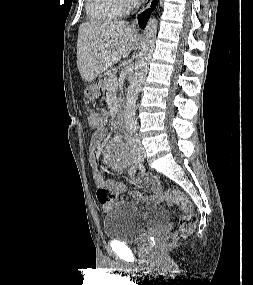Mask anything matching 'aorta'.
<instances>
[{
  "label": "aorta",
  "mask_w": 253,
  "mask_h": 285,
  "mask_svg": "<svg viewBox=\"0 0 253 285\" xmlns=\"http://www.w3.org/2000/svg\"><path fill=\"white\" fill-rule=\"evenodd\" d=\"M157 25L158 21L155 17L150 18L146 24L138 60L135 64L134 74L127 90L124 120L126 129L131 133L137 130L136 101L147 74L149 61L154 50Z\"/></svg>",
  "instance_id": "aorta-1"
}]
</instances>
